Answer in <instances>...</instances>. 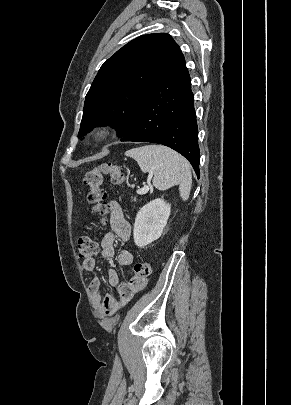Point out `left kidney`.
Wrapping results in <instances>:
<instances>
[{"mask_svg":"<svg viewBox=\"0 0 291 405\" xmlns=\"http://www.w3.org/2000/svg\"><path fill=\"white\" fill-rule=\"evenodd\" d=\"M171 205L157 198L144 205L137 213L133 228L135 244L143 248L163 233L170 216Z\"/></svg>","mask_w":291,"mask_h":405,"instance_id":"obj_1","label":"left kidney"}]
</instances>
